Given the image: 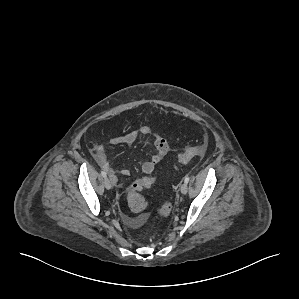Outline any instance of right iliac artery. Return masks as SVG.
Listing matches in <instances>:
<instances>
[{
	"label": "right iliac artery",
	"mask_w": 299,
	"mask_h": 299,
	"mask_svg": "<svg viewBox=\"0 0 299 299\" xmlns=\"http://www.w3.org/2000/svg\"><path fill=\"white\" fill-rule=\"evenodd\" d=\"M101 175L104 177V178H106L107 177V174H106V172L105 171H101Z\"/></svg>",
	"instance_id": "right-iliac-artery-1"
}]
</instances>
